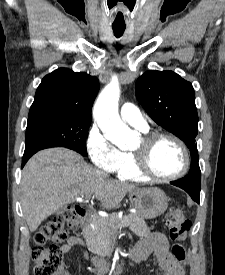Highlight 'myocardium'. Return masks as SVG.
<instances>
[{"mask_svg":"<svg viewBox=\"0 0 225 275\" xmlns=\"http://www.w3.org/2000/svg\"><path fill=\"white\" fill-rule=\"evenodd\" d=\"M163 139L171 140L174 143H176L181 149V152L183 154V165L181 169L175 174L166 175V176L156 174L151 169L149 164V154L151 149L157 142ZM142 142H143L142 149L134 150L133 155L135 158V168L138 171V173L142 175L145 179L165 182V181L176 180L187 173L190 166V155L186 144L180 138L168 133L150 132V133H146L142 137Z\"/></svg>","mask_w":225,"mask_h":275,"instance_id":"1","label":"myocardium"}]
</instances>
